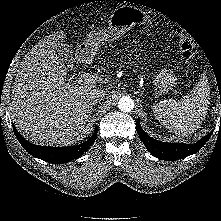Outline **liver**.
<instances>
[{
  "label": "liver",
  "instance_id": "liver-1",
  "mask_svg": "<svg viewBox=\"0 0 221 221\" xmlns=\"http://www.w3.org/2000/svg\"><path fill=\"white\" fill-rule=\"evenodd\" d=\"M55 33L24 57L12 89L11 112L19 130L31 141L62 144L74 139L89 118V93L95 84L66 82L68 69L56 54Z\"/></svg>",
  "mask_w": 221,
  "mask_h": 221
}]
</instances>
